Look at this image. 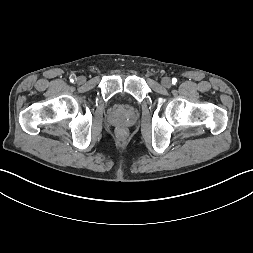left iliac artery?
<instances>
[{
	"label": "left iliac artery",
	"mask_w": 253,
	"mask_h": 253,
	"mask_svg": "<svg viewBox=\"0 0 253 253\" xmlns=\"http://www.w3.org/2000/svg\"><path fill=\"white\" fill-rule=\"evenodd\" d=\"M176 82H177V79H176V78H173V79H172V83H173V84H176Z\"/></svg>",
	"instance_id": "1"
}]
</instances>
